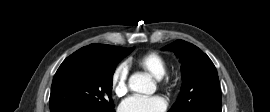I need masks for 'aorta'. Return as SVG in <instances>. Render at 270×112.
<instances>
[{
    "label": "aorta",
    "instance_id": "obj_1",
    "mask_svg": "<svg viewBox=\"0 0 270 112\" xmlns=\"http://www.w3.org/2000/svg\"><path fill=\"white\" fill-rule=\"evenodd\" d=\"M129 87L132 91L141 94H153L156 89L151 79L143 74H133L129 78Z\"/></svg>",
    "mask_w": 270,
    "mask_h": 112
}]
</instances>
